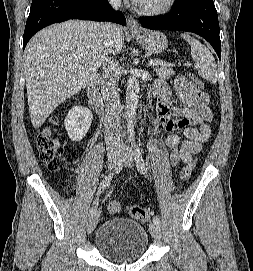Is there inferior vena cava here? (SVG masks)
Returning <instances> with one entry per match:
<instances>
[{
    "label": "inferior vena cava",
    "mask_w": 253,
    "mask_h": 271,
    "mask_svg": "<svg viewBox=\"0 0 253 271\" xmlns=\"http://www.w3.org/2000/svg\"><path fill=\"white\" fill-rule=\"evenodd\" d=\"M113 9L117 10L121 6V0H109ZM101 35L106 43L102 57L101 92L104 101V123L105 140L109 153L120 152L121 145V104L117 88V63L109 52V42L113 38L115 25L111 23H100Z\"/></svg>",
    "instance_id": "602c4592"
}]
</instances>
